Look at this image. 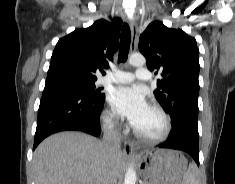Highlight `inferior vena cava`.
<instances>
[{
    "label": "inferior vena cava",
    "mask_w": 235,
    "mask_h": 184,
    "mask_svg": "<svg viewBox=\"0 0 235 184\" xmlns=\"http://www.w3.org/2000/svg\"><path fill=\"white\" fill-rule=\"evenodd\" d=\"M101 144L107 154H121L118 120H113L111 124H106Z\"/></svg>",
    "instance_id": "1"
}]
</instances>
